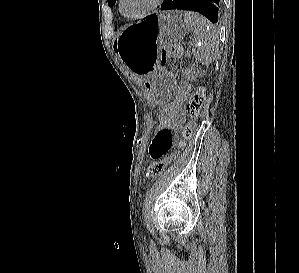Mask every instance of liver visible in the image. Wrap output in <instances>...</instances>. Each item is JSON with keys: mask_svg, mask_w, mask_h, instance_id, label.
I'll return each instance as SVG.
<instances>
[{"mask_svg": "<svg viewBox=\"0 0 299 273\" xmlns=\"http://www.w3.org/2000/svg\"><path fill=\"white\" fill-rule=\"evenodd\" d=\"M128 27V26H127ZM126 27H122V30H124Z\"/></svg>", "mask_w": 299, "mask_h": 273, "instance_id": "obj_1", "label": "liver"}]
</instances>
